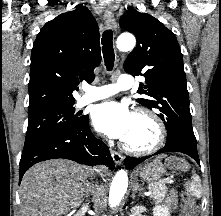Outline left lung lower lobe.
Listing matches in <instances>:
<instances>
[{
    "label": "left lung lower lobe",
    "mask_w": 221,
    "mask_h": 216,
    "mask_svg": "<svg viewBox=\"0 0 221 216\" xmlns=\"http://www.w3.org/2000/svg\"><path fill=\"white\" fill-rule=\"evenodd\" d=\"M165 152H181L187 154L200 165L199 156L197 153V145L194 143L183 140H178L176 142H166L165 147L157 151L155 154H160ZM149 157L150 156L141 157V158L128 157L125 159V166L130 169Z\"/></svg>",
    "instance_id": "left-lung-lower-lobe-1"
}]
</instances>
